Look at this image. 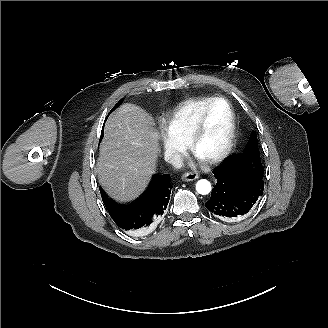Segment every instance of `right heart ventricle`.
Listing matches in <instances>:
<instances>
[{
	"label": "right heart ventricle",
	"instance_id": "obj_1",
	"mask_svg": "<svg viewBox=\"0 0 328 328\" xmlns=\"http://www.w3.org/2000/svg\"><path fill=\"white\" fill-rule=\"evenodd\" d=\"M213 99L211 96H200L185 100L159 114L156 120L170 141L185 147L201 110Z\"/></svg>",
	"mask_w": 328,
	"mask_h": 328
}]
</instances>
